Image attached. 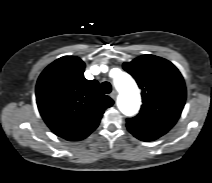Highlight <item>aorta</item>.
I'll return each instance as SVG.
<instances>
[{"mask_svg":"<svg viewBox=\"0 0 212 183\" xmlns=\"http://www.w3.org/2000/svg\"><path fill=\"white\" fill-rule=\"evenodd\" d=\"M114 85L119 92L118 107L127 116L137 113L140 107L141 98L139 89L133 78L120 69H113Z\"/></svg>","mask_w":212,"mask_h":183,"instance_id":"aorta-1","label":"aorta"}]
</instances>
